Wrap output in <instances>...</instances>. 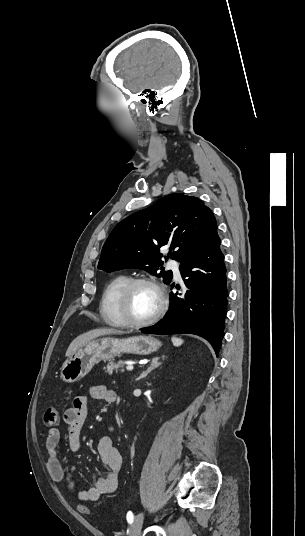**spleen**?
Segmentation results:
<instances>
[{"label":"spleen","instance_id":"spleen-1","mask_svg":"<svg viewBox=\"0 0 305 536\" xmlns=\"http://www.w3.org/2000/svg\"><path fill=\"white\" fill-rule=\"evenodd\" d=\"M173 346H182L183 340L181 338H172Z\"/></svg>","mask_w":305,"mask_h":536}]
</instances>
